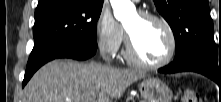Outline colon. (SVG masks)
<instances>
[{
  "mask_svg": "<svg viewBox=\"0 0 221 102\" xmlns=\"http://www.w3.org/2000/svg\"><path fill=\"white\" fill-rule=\"evenodd\" d=\"M183 102H202L201 96L192 89H187L182 96Z\"/></svg>",
  "mask_w": 221,
  "mask_h": 102,
  "instance_id": "5ec220e1",
  "label": "colon"
}]
</instances>
